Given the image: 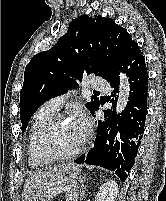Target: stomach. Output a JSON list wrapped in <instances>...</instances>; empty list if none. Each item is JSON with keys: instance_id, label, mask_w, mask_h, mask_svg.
Instances as JSON below:
<instances>
[{"instance_id": "0dacf381", "label": "stomach", "mask_w": 166, "mask_h": 201, "mask_svg": "<svg viewBox=\"0 0 166 201\" xmlns=\"http://www.w3.org/2000/svg\"><path fill=\"white\" fill-rule=\"evenodd\" d=\"M79 173L75 165L62 166L35 189L32 201H52L65 187L75 182Z\"/></svg>"}]
</instances>
